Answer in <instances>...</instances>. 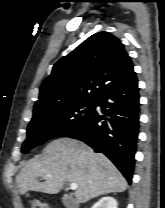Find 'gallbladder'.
I'll return each instance as SVG.
<instances>
[{"label": "gallbladder", "instance_id": "1", "mask_svg": "<svg viewBox=\"0 0 165 208\" xmlns=\"http://www.w3.org/2000/svg\"><path fill=\"white\" fill-rule=\"evenodd\" d=\"M62 202H63V205H64L66 208H75L76 202H75V200H74L72 197H70V196L65 195V196L62 198Z\"/></svg>", "mask_w": 165, "mask_h": 208}]
</instances>
